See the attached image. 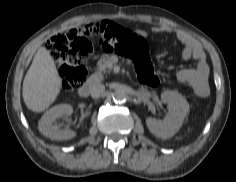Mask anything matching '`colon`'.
I'll list each match as a JSON object with an SVG mask.
<instances>
[{
  "instance_id": "colon-1",
  "label": "colon",
  "mask_w": 236,
  "mask_h": 182,
  "mask_svg": "<svg viewBox=\"0 0 236 182\" xmlns=\"http://www.w3.org/2000/svg\"><path fill=\"white\" fill-rule=\"evenodd\" d=\"M97 35L101 36L105 47L132 61L142 85L155 87L159 84L147 41L114 22L103 21L55 35L48 40L46 47L59 66L60 84L64 91L71 92L86 80V63L92 53L88 39Z\"/></svg>"
}]
</instances>
